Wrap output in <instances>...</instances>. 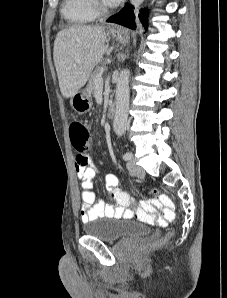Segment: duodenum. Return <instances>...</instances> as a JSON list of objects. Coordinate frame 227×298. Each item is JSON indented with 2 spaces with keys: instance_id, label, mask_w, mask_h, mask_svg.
<instances>
[{
  "instance_id": "obj_1",
  "label": "duodenum",
  "mask_w": 227,
  "mask_h": 298,
  "mask_svg": "<svg viewBox=\"0 0 227 298\" xmlns=\"http://www.w3.org/2000/svg\"><path fill=\"white\" fill-rule=\"evenodd\" d=\"M116 114V104L114 102L109 103L108 106V117L113 119Z\"/></svg>"
}]
</instances>
